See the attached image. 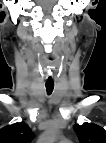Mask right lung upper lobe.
I'll use <instances>...</instances> for the list:
<instances>
[{
  "label": "right lung upper lobe",
  "instance_id": "obj_1",
  "mask_svg": "<svg viewBox=\"0 0 106 143\" xmlns=\"http://www.w3.org/2000/svg\"><path fill=\"white\" fill-rule=\"evenodd\" d=\"M32 139L33 132L24 122L5 126L0 130V143H30Z\"/></svg>",
  "mask_w": 106,
  "mask_h": 143
}]
</instances>
